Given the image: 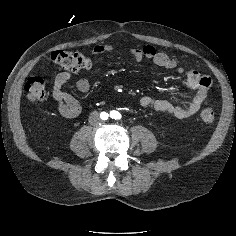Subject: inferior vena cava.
<instances>
[{
	"instance_id": "obj_1",
	"label": "inferior vena cava",
	"mask_w": 236,
	"mask_h": 236,
	"mask_svg": "<svg viewBox=\"0 0 236 236\" xmlns=\"http://www.w3.org/2000/svg\"><path fill=\"white\" fill-rule=\"evenodd\" d=\"M100 122H101V119H100L99 113L97 111H94V112L90 113L89 123L91 125H97Z\"/></svg>"
}]
</instances>
